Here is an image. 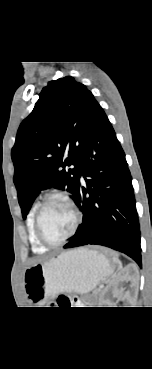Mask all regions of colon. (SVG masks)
<instances>
[{
  "label": "colon",
  "instance_id": "1",
  "mask_svg": "<svg viewBox=\"0 0 152 369\" xmlns=\"http://www.w3.org/2000/svg\"><path fill=\"white\" fill-rule=\"evenodd\" d=\"M74 304V301L68 295H60L54 305L58 307H71Z\"/></svg>",
  "mask_w": 152,
  "mask_h": 369
}]
</instances>
